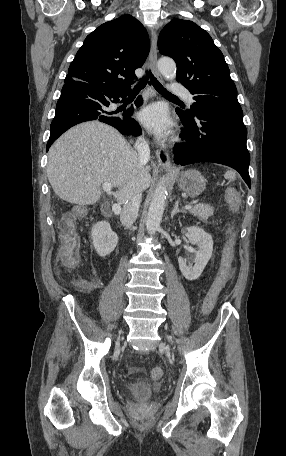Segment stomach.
<instances>
[{
    "label": "stomach",
    "mask_w": 286,
    "mask_h": 456,
    "mask_svg": "<svg viewBox=\"0 0 286 456\" xmlns=\"http://www.w3.org/2000/svg\"><path fill=\"white\" fill-rule=\"evenodd\" d=\"M175 178L180 189L192 198L199 196L206 188L205 178L195 169L182 171Z\"/></svg>",
    "instance_id": "0dacf381"
}]
</instances>
